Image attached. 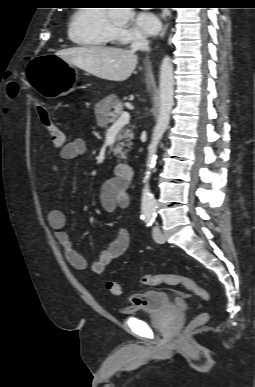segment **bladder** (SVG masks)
Listing matches in <instances>:
<instances>
[{
	"instance_id": "1",
	"label": "bladder",
	"mask_w": 255,
	"mask_h": 387,
	"mask_svg": "<svg viewBox=\"0 0 255 387\" xmlns=\"http://www.w3.org/2000/svg\"><path fill=\"white\" fill-rule=\"evenodd\" d=\"M139 299L140 303L128 306L123 310V313L126 315L140 313L153 315L174 306L171 296L163 291H147L139 294Z\"/></svg>"
}]
</instances>
